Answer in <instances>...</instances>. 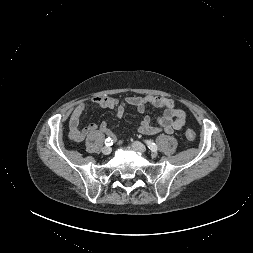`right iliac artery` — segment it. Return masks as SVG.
<instances>
[{
	"mask_svg": "<svg viewBox=\"0 0 253 253\" xmlns=\"http://www.w3.org/2000/svg\"><path fill=\"white\" fill-rule=\"evenodd\" d=\"M105 144H106V146H111L113 144V140L111 138H107L105 140Z\"/></svg>",
	"mask_w": 253,
	"mask_h": 253,
	"instance_id": "1",
	"label": "right iliac artery"
}]
</instances>
